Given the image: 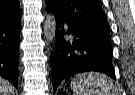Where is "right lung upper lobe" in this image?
<instances>
[{
	"mask_svg": "<svg viewBox=\"0 0 135 95\" xmlns=\"http://www.w3.org/2000/svg\"><path fill=\"white\" fill-rule=\"evenodd\" d=\"M20 16L19 0H0V20L13 19Z\"/></svg>",
	"mask_w": 135,
	"mask_h": 95,
	"instance_id": "right-lung-upper-lobe-1",
	"label": "right lung upper lobe"
}]
</instances>
